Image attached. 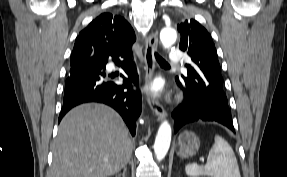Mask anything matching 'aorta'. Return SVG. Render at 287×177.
Segmentation results:
<instances>
[{
  "label": "aorta",
  "instance_id": "aorta-1",
  "mask_svg": "<svg viewBox=\"0 0 287 177\" xmlns=\"http://www.w3.org/2000/svg\"><path fill=\"white\" fill-rule=\"evenodd\" d=\"M177 34L172 28H164L160 32V40L165 48L170 47L176 41ZM171 126L168 121L162 122L158 129L154 143V152L156 159L161 161L165 158L171 143Z\"/></svg>",
  "mask_w": 287,
  "mask_h": 177
}]
</instances>
